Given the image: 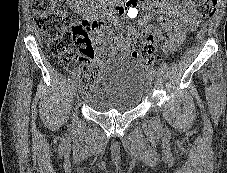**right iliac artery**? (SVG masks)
<instances>
[{
	"label": "right iliac artery",
	"instance_id": "right-iliac-artery-1",
	"mask_svg": "<svg viewBox=\"0 0 227 173\" xmlns=\"http://www.w3.org/2000/svg\"><path fill=\"white\" fill-rule=\"evenodd\" d=\"M76 76H77V70H73V71L70 73L68 80H69V81H72V80H74V79L76 78Z\"/></svg>",
	"mask_w": 227,
	"mask_h": 173
}]
</instances>
